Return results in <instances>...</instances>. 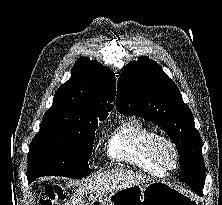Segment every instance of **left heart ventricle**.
<instances>
[{
    "mask_svg": "<svg viewBox=\"0 0 222 205\" xmlns=\"http://www.w3.org/2000/svg\"><path fill=\"white\" fill-rule=\"evenodd\" d=\"M158 154L165 164L170 165L173 163L174 154L169 146L161 144L158 147Z\"/></svg>",
    "mask_w": 222,
    "mask_h": 205,
    "instance_id": "b2bd125f",
    "label": "left heart ventricle"
}]
</instances>
